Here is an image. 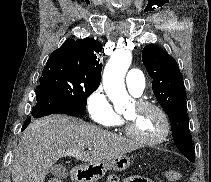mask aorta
Here are the masks:
<instances>
[{
	"label": "aorta",
	"mask_w": 211,
	"mask_h": 182,
	"mask_svg": "<svg viewBox=\"0 0 211 182\" xmlns=\"http://www.w3.org/2000/svg\"><path fill=\"white\" fill-rule=\"evenodd\" d=\"M131 60L132 55L130 51H116L104 69V90L116 109L125 105L130 100L125 88L124 78L131 64Z\"/></svg>",
	"instance_id": "1"
}]
</instances>
